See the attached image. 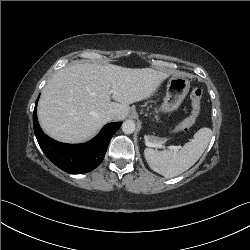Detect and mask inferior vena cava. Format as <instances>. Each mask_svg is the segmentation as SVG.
<instances>
[{"label": "inferior vena cava", "instance_id": "inferior-vena-cava-1", "mask_svg": "<svg viewBox=\"0 0 250 250\" xmlns=\"http://www.w3.org/2000/svg\"><path fill=\"white\" fill-rule=\"evenodd\" d=\"M114 117H115V112L110 111V112L107 113V119L108 120H112V119H114Z\"/></svg>", "mask_w": 250, "mask_h": 250}]
</instances>
